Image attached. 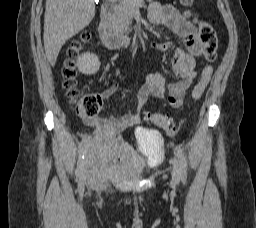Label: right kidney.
<instances>
[{
    "mask_svg": "<svg viewBox=\"0 0 256 228\" xmlns=\"http://www.w3.org/2000/svg\"><path fill=\"white\" fill-rule=\"evenodd\" d=\"M78 70L84 75H93L100 68L98 56L92 53H84L77 58Z\"/></svg>",
    "mask_w": 256,
    "mask_h": 228,
    "instance_id": "right-kidney-1",
    "label": "right kidney"
}]
</instances>
